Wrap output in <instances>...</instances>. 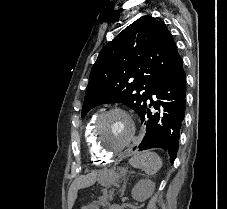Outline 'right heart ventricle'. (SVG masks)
Returning a JSON list of instances; mask_svg holds the SVG:
<instances>
[{"instance_id":"obj_1","label":"right heart ventricle","mask_w":227,"mask_h":209,"mask_svg":"<svg viewBox=\"0 0 227 209\" xmlns=\"http://www.w3.org/2000/svg\"><path fill=\"white\" fill-rule=\"evenodd\" d=\"M96 118H97V115H93L88 120V122L84 128L85 143L87 145V148H88V151L90 154V158L94 163H96V164L108 163L111 161V157H107V156L100 154L93 143L92 131H93V126H94Z\"/></svg>"}]
</instances>
